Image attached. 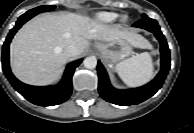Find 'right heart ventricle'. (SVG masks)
<instances>
[{
    "instance_id": "obj_1",
    "label": "right heart ventricle",
    "mask_w": 194,
    "mask_h": 133,
    "mask_svg": "<svg viewBox=\"0 0 194 133\" xmlns=\"http://www.w3.org/2000/svg\"><path fill=\"white\" fill-rule=\"evenodd\" d=\"M119 15L115 12H100L97 19L103 23H112L118 19Z\"/></svg>"
}]
</instances>
